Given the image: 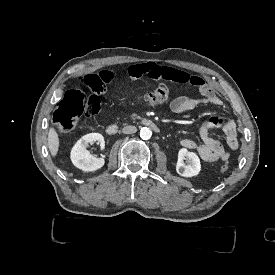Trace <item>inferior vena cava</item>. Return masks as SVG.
I'll return each instance as SVG.
<instances>
[{
	"label": "inferior vena cava",
	"instance_id": "602c4592",
	"mask_svg": "<svg viewBox=\"0 0 275 275\" xmlns=\"http://www.w3.org/2000/svg\"><path fill=\"white\" fill-rule=\"evenodd\" d=\"M122 132H123L124 134H132V133L137 132V128H136L135 126H132V125L125 126V127L122 129Z\"/></svg>",
	"mask_w": 275,
	"mask_h": 275
}]
</instances>
